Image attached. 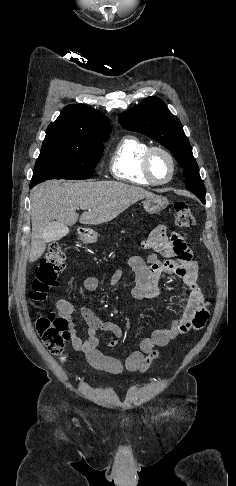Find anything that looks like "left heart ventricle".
<instances>
[{
    "instance_id": "obj_1",
    "label": "left heart ventricle",
    "mask_w": 236,
    "mask_h": 486,
    "mask_svg": "<svg viewBox=\"0 0 236 486\" xmlns=\"http://www.w3.org/2000/svg\"><path fill=\"white\" fill-rule=\"evenodd\" d=\"M170 163L165 155L156 152L150 160V170L157 180H165L170 174Z\"/></svg>"
}]
</instances>
